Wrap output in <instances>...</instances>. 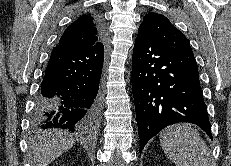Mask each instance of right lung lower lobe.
I'll return each instance as SVG.
<instances>
[{
    "instance_id": "right-lung-lower-lobe-1",
    "label": "right lung lower lobe",
    "mask_w": 231,
    "mask_h": 166,
    "mask_svg": "<svg viewBox=\"0 0 231 166\" xmlns=\"http://www.w3.org/2000/svg\"><path fill=\"white\" fill-rule=\"evenodd\" d=\"M103 62V42L54 47L36 100V126L92 133L101 115Z\"/></svg>"
}]
</instances>
